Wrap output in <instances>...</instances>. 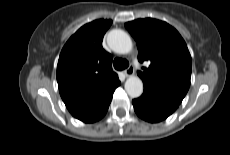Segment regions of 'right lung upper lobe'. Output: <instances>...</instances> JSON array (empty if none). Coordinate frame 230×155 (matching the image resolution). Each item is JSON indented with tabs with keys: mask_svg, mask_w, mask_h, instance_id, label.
I'll list each match as a JSON object with an SVG mask.
<instances>
[{
	"mask_svg": "<svg viewBox=\"0 0 230 155\" xmlns=\"http://www.w3.org/2000/svg\"><path fill=\"white\" fill-rule=\"evenodd\" d=\"M111 20H95L82 26L64 45L58 65L59 92L75 118L92 113L111 100L120 85L112 70V56L102 47Z\"/></svg>",
	"mask_w": 230,
	"mask_h": 155,
	"instance_id": "right-lung-upper-lobe-1",
	"label": "right lung upper lobe"
}]
</instances>
